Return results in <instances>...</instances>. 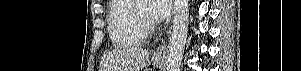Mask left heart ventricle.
<instances>
[{
  "mask_svg": "<svg viewBox=\"0 0 301 71\" xmlns=\"http://www.w3.org/2000/svg\"><path fill=\"white\" fill-rule=\"evenodd\" d=\"M137 9L138 11L145 15V16H148L149 15V8H148V4L147 2H144V1H140L137 3Z\"/></svg>",
  "mask_w": 301,
  "mask_h": 71,
  "instance_id": "left-heart-ventricle-1",
  "label": "left heart ventricle"
}]
</instances>
